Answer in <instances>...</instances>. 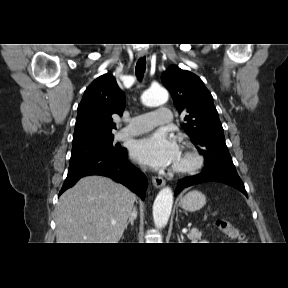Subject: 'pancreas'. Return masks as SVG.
Segmentation results:
<instances>
[{
    "mask_svg": "<svg viewBox=\"0 0 288 288\" xmlns=\"http://www.w3.org/2000/svg\"><path fill=\"white\" fill-rule=\"evenodd\" d=\"M188 239L192 241V243H197L198 240L202 237V232L196 228L191 229V231L187 234Z\"/></svg>",
    "mask_w": 288,
    "mask_h": 288,
    "instance_id": "pancreas-1",
    "label": "pancreas"
}]
</instances>
